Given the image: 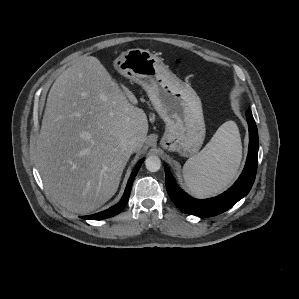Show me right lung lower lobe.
Wrapping results in <instances>:
<instances>
[{
	"label": "right lung lower lobe",
	"mask_w": 299,
	"mask_h": 299,
	"mask_svg": "<svg viewBox=\"0 0 299 299\" xmlns=\"http://www.w3.org/2000/svg\"><path fill=\"white\" fill-rule=\"evenodd\" d=\"M143 161H144V158L141 159L138 162V164L135 166V168H134V170H133V172L130 176V179L127 183L124 195H123L122 199L120 200V202L118 204H116L115 206H113V207H111V208H109V209H107L103 212H100V213H97V214H94V215H90V216H83L82 218L92 219V220H99V219L109 218V217H112V216L120 213L124 209V207L126 206L128 200H129L133 180H134L135 176L137 175V173L139 171V168L142 165Z\"/></svg>",
	"instance_id": "right-lung-lower-lobe-1"
}]
</instances>
